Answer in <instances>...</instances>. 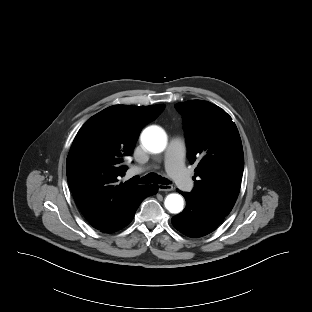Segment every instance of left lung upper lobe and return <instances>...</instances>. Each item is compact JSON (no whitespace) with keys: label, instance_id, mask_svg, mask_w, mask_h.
<instances>
[{"label":"left lung upper lobe","instance_id":"5c2ea615","mask_svg":"<svg viewBox=\"0 0 312 312\" xmlns=\"http://www.w3.org/2000/svg\"><path fill=\"white\" fill-rule=\"evenodd\" d=\"M183 116L195 187L185 193L194 202L226 216L238 197L244 169L239 132L220 107L202 100L177 103Z\"/></svg>","mask_w":312,"mask_h":312}]
</instances>
